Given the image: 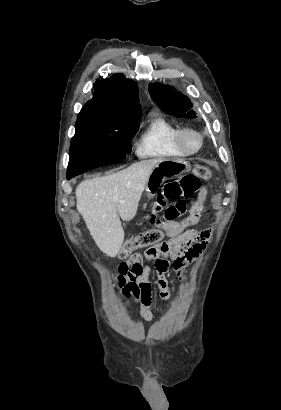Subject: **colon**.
Returning a JSON list of instances; mask_svg holds the SVG:
<instances>
[{
    "instance_id": "1",
    "label": "colon",
    "mask_w": 281,
    "mask_h": 410,
    "mask_svg": "<svg viewBox=\"0 0 281 410\" xmlns=\"http://www.w3.org/2000/svg\"><path fill=\"white\" fill-rule=\"evenodd\" d=\"M211 177V169L198 164L191 174L167 183L153 207L151 222L155 227L128 239L119 252V258L126 259L137 249L160 243L163 238L162 225L167 222H174L183 214L186 210L185 200L195 194L201 181H207ZM159 213L163 214L161 218L158 217Z\"/></svg>"
}]
</instances>
